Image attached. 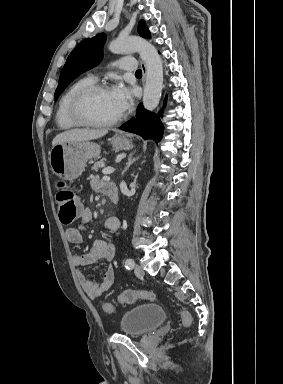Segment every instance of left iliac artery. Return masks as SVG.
I'll use <instances>...</instances> for the list:
<instances>
[{"label": "left iliac artery", "instance_id": "obj_1", "mask_svg": "<svg viewBox=\"0 0 283 384\" xmlns=\"http://www.w3.org/2000/svg\"><path fill=\"white\" fill-rule=\"evenodd\" d=\"M134 266H135V262H134L133 259H127V260L125 261V267H126V269H128V270H132V269L134 268Z\"/></svg>", "mask_w": 283, "mask_h": 384}]
</instances>
